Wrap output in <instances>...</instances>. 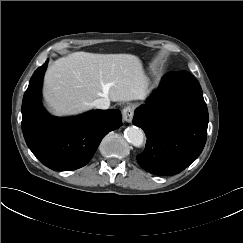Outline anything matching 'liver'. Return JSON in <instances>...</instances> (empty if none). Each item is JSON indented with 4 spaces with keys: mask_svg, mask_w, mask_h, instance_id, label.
I'll use <instances>...</instances> for the list:
<instances>
[{
    "mask_svg": "<svg viewBox=\"0 0 243 243\" xmlns=\"http://www.w3.org/2000/svg\"><path fill=\"white\" fill-rule=\"evenodd\" d=\"M141 60L131 54L74 52L46 71L43 96L56 116H72L93 108L94 101L141 100L146 95Z\"/></svg>",
    "mask_w": 243,
    "mask_h": 243,
    "instance_id": "liver-1",
    "label": "liver"
}]
</instances>
